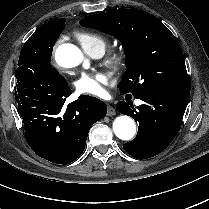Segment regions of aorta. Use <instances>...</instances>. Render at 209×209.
Listing matches in <instances>:
<instances>
[{"mask_svg":"<svg viewBox=\"0 0 209 209\" xmlns=\"http://www.w3.org/2000/svg\"><path fill=\"white\" fill-rule=\"evenodd\" d=\"M84 57L82 52L73 44H62L55 52L56 62L65 68L78 66ZM113 131L121 140H131L136 133V124L128 116L117 117L113 122Z\"/></svg>","mask_w":209,"mask_h":209,"instance_id":"762f6f07","label":"aorta"}]
</instances>
